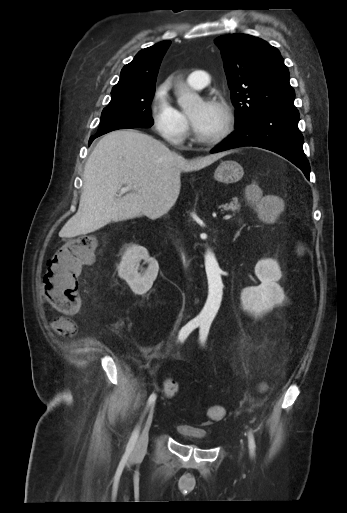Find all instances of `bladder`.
Segmentation results:
<instances>
[{
	"label": "bladder",
	"instance_id": "1",
	"mask_svg": "<svg viewBox=\"0 0 347 513\" xmlns=\"http://www.w3.org/2000/svg\"><path fill=\"white\" fill-rule=\"evenodd\" d=\"M178 433L192 446L211 450L215 448V445L207 439L205 430L182 424L177 427Z\"/></svg>",
	"mask_w": 347,
	"mask_h": 513
}]
</instances>
